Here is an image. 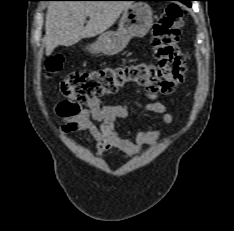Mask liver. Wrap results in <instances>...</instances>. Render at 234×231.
Instances as JSON below:
<instances>
[{
    "label": "liver",
    "mask_w": 234,
    "mask_h": 231,
    "mask_svg": "<svg viewBox=\"0 0 234 231\" xmlns=\"http://www.w3.org/2000/svg\"><path fill=\"white\" fill-rule=\"evenodd\" d=\"M130 1H53L45 23V53L59 46H72L82 38L94 37L109 29ZM89 21L84 26L86 17Z\"/></svg>",
    "instance_id": "6515ba94"
}]
</instances>
